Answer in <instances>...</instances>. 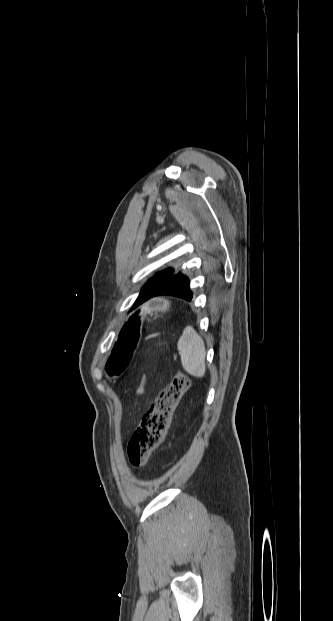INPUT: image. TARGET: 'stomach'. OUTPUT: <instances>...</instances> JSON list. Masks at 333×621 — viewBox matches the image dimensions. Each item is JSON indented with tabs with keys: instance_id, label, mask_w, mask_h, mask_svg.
<instances>
[{
	"instance_id": "obj_1",
	"label": "stomach",
	"mask_w": 333,
	"mask_h": 621,
	"mask_svg": "<svg viewBox=\"0 0 333 621\" xmlns=\"http://www.w3.org/2000/svg\"><path fill=\"white\" fill-rule=\"evenodd\" d=\"M166 309L167 304L160 299H156L142 310H137L130 317L122 331L113 339L111 349L107 354L108 362L105 366V371L109 377L113 379L122 377L126 368L132 365L139 345L138 336L140 321L142 320L141 316L145 317L155 310L165 311Z\"/></svg>"
}]
</instances>
